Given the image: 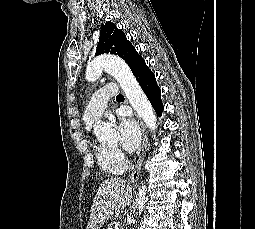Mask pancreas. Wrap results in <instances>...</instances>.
<instances>
[{
  "label": "pancreas",
  "instance_id": "pancreas-1",
  "mask_svg": "<svg viewBox=\"0 0 255 229\" xmlns=\"http://www.w3.org/2000/svg\"><path fill=\"white\" fill-rule=\"evenodd\" d=\"M117 224L118 222H111L110 224H108L107 229H114Z\"/></svg>",
  "mask_w": 255,
  "mask_h": 229
}]
</instances>
